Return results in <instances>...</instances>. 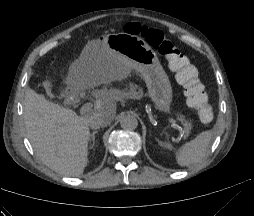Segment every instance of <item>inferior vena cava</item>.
<instances>
[{"instance_id":"1","label":"inferior vena cava","mask_w":254,"mask_h":216,"mask_svg":"<svg viewBox=\"0 0 254 216\" xmlns=\"http://www.w3.org/2000/svg\"><path fill=\"white\" fill-rule=\"evenodd\" d=\"M110 122V120L99 114H94L89 118V126L91 129H99L101 127H106L108 124H110Z\"/></svg>"}]
</instances>
